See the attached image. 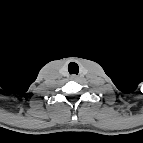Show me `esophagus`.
I'll return each instance as SVG.
<instances>
[{
	"label": "esophagus",
	"mask_w": 143,
	"mask_h": 143,
	"mask_svg": "<svg viewBox=\"0 0 143 143\" xmlns=\"http://www.w3.org/2000/svg\"><path fill=\"white\" fill-rule=\"evenodd\" d=\"M78 78H79V76L75 75V74L71 75V77H70L71 80H77Z\"/></svg>",
	"instance_id": "1"
}]
</instances>
